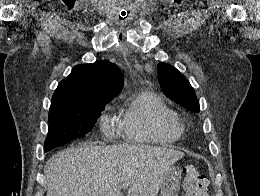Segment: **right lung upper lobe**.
<instances>
[{"mask_svg":"<svg viewBox=\"0 0 260 196\" xmlns=\"http://www.w3.org/2000/svg\"><path fill=\"white\" fill-rule=\"evenodd\" d=\"M123 83L121 71L109 61L79 64L58 85L51 106L109 102L121 91Z\"/></svg>","mask_w":260,"mask_h":196,"instance_id":"1","label":"right lung upper lobe"}]
</instances>
